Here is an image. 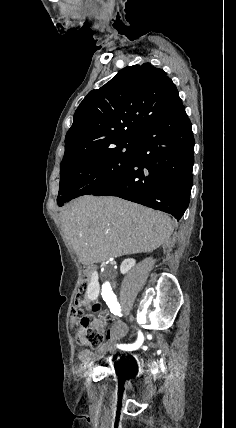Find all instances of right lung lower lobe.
Here are the masks:
<instances>
[{
  "label": "right lung lower lobe",
  "mask_w": 236,
  "mask_h": 428,
  "mask_svg": "<svg viewBox=\"0 0 236 428\" xmlns=\"http://www.w3.org/2000/svg\"><path fill=\"white\" fill-rule=\"evenodd\" d=\"M134 141L132 164L93 195L117 196L179 220L189 205L194 164V138L184 106Z\"/></svg>",
  "instance_id": "right-lung-lower-lobe-1"
}]
</instances>
